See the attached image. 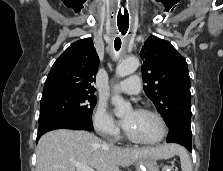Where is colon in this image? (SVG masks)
<instances>
[{"mask_svg":"<svg viewBox=\"0 0 223 171\" xmlns=\"http://www.w3.org/2000/svg\"><path fill=\"white\" fill-rule=\"evenodd\" d=\"M163 171H178V168L174 165H167L163 168Z\"/></svg>","mask_w":223,"mask_h":171,"instance_id":"obj_1","label":"colon"}]
</instances>
